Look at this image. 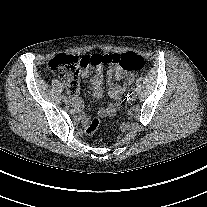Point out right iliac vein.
I'll return each instance as SVG.
<instances>
[{
    "instance_id": "1",
    "label": "right iliac vein",
    "mask_w": 207,
    "mask_h": 207,
    "mask_svg": "<svg viewBox=\"0 0 207 207\" xmlns=\"http://www.w3.org/2000/svg\"><path fill=\"white\" fill-rule=\"evenodd\" d=\"M64 102H65L66 104H70V103H71L69 99H65Z\"/></svg>"
}]
</instances>
